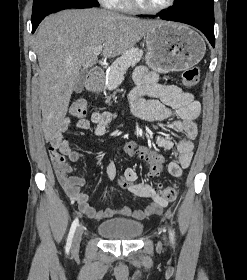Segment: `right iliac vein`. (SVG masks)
<instances>
[{
    "instance_id": "1",
    "label": "right iliac vein",
    "mask_w": 247,
    "mask_h": 280,
    "mask_svg": "<svg viewBox=\"0 0 247 280\" xmlns=\"http://www.w3.org/2000/svg\"><path fill=\"white\" fill-rule=\"evenodd\" d=\"M82 234H83V226L80 225L75 231L73 242H72V252H77L80 246V242L82 239Z\"/></svg>"
}]
</instances>
